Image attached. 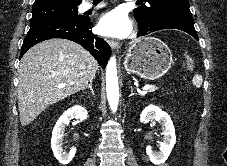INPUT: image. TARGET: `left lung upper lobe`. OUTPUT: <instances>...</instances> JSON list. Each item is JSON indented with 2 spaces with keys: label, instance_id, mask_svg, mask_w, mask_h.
Returning <instances> with one entry per match:
<instances>
[{
  "label": "left lung upper lobe",
  "instance_id": "5c2ea615",
  "mask_svg": "<svg viewBox=\"0 0 227 166\" xmlns=\"http://www.w3.org/2000/svg\"><path fill=\"white\" fill-rule=\"evenodd\" d=\"M150 6H139L134 9L137 22L149 25L162 14L178 10H189L188 0H146Z\"/></svg>",
  "mask_w": 227,
  "mask_h": 166
}]
</instances>
